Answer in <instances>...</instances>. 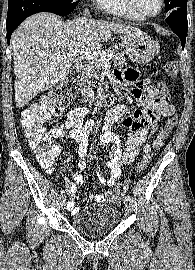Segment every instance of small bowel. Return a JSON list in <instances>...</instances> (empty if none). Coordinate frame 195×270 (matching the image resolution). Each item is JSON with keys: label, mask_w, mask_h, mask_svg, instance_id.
<instances>
[{"label": "small bowel", "mask_w": 195, "mask_h": 270, "mask_svg": "<svg viewBox=\"0 0 195 270\" xmlns=\"http://www.w3.org/2000/svg\"><path fill=\"white\" fill-rule=\"evenodd\" d=\"M115 79L127 86V90L139 103L140 108L130 110L125 106L117 105L106 115L99 143L105 148L110 146V158L106 164L110 176L105 178L98 173L97 177L102 185L108 188L115 186L123 167L132 165L142 150L147 152L150 149L148 140L157 132L160 119L171 117L174 114L169 93L162 94L158 84L153 85L149 78H140L136 70L127 69L123 72H116ZM87 116L86 108H76L48 133L49 137L55 139L68 136L77 142L80 157L77 167L80 171H84L87 166L85 158L88 153V135L94 124L91 119H86ZM117 127H122L127 132L124 148L116 132ZM72 180L73 182L67 188L70 196L67 208L70 213L76 214L79 207L76 205L75 193L83 182V176L80 172H74ZM118 198L111 189L102 194L92 193L88 196L89 200L99 203L115 202Z\"/></svg>", "instance_id": "c3829d8e"}]
</instances>
